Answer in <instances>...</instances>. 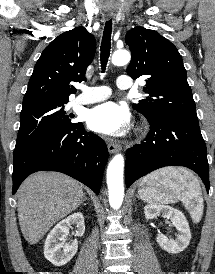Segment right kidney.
<instances>
[{"instance_id": "ca27d5eb", "label": "right kidney", "mask_w": 215, "mask_h": 274, "mask_svg": "<svg viewBox=\"0 0 215 274\" xmlns=\"http://www.w3.org/2000/svg\"><path fill=\"white\" fill-rule=\"evenodd\" d=\"M75 225L76 236H82L85 232L84 216L81 212L74 213L60 221L48 234L44 245V256L55 266L67 264L78 249V241L75 239L69 244L62 241L69 234V227Z\"/></svg>"}]
</instances>
